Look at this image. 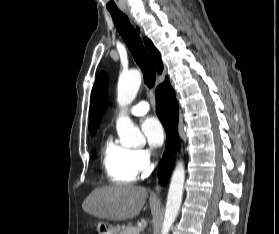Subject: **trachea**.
I'll return each instance as SVG.
<instances>
[{"label": "trachea", "instance_id": "1", "mask_svg": "<svg viewBox=\"0 0 279 234\" xmlns=\"http://www.w3.org/2000/svg\"><path fill=\"white\" fill-rule=\"evenodd\" d=\"M111 16L119 34L143 72L144 83L149 88H152L156 81V73L139 35L130 24L129 19L125 14L122 12H111Z\"/></svg>", "mask_w": 279, "mask_h": 234}]
</instances>
